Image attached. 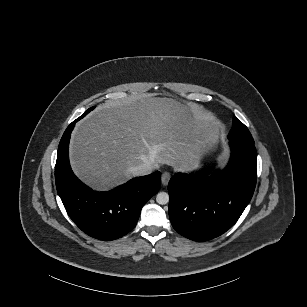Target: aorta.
Returning <instances> with one entry per match:
<instances>
[{"label":"aorta","instance_id":"1","mask_svg":"<svg viewBox=\"0 0 307 307\" xmlns=\"http://www.w3.org/2000/svg\"><path fill=\"white\" fill-rule=\"evenodd\" d=\"M156 202L165 205L169 202V195L166 192H160L156 196Z\"/></svg>","mask_w":307,"mask_h":307}]
</instances>
